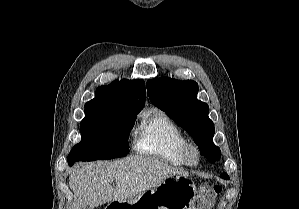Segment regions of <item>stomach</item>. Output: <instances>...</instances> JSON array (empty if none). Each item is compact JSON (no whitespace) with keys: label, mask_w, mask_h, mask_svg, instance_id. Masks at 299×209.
<instances>
[{"label":"stomach","mask_w":299,"mask_h":209,"mask_svg":"<svg viewBox=\"0 0 299 209\" xmlns=\"http://www.w3.org/2000/svg\"><path fill=\"white\" fill-rule=\"evenodd\" d=\"M196 186L191 178L176 175L130 200L114 201L113 209H196Z\"/></svg>","instance_id":"0dacf381"}]
</instances>
